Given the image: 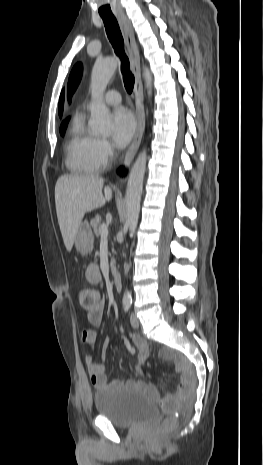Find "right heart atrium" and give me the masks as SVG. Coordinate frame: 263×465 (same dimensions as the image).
Masks as SVG:
<instances>
[{
  "instance_id": "1",
  "label": "right heart atrium",
  "mask_w": 263,
  "mask_h": 465,
  "mask_svg": "<svg viewBox=\"0 0 263 465\" xmlns=\"http://www.w3.org/2000/svg\"><path fill=\"white\" fill-rule=\"evenodd\" d=\"M113 153V145L107 139L98 140V154L105 164L112 158Z\"/></svg>"
}]
</instances>
